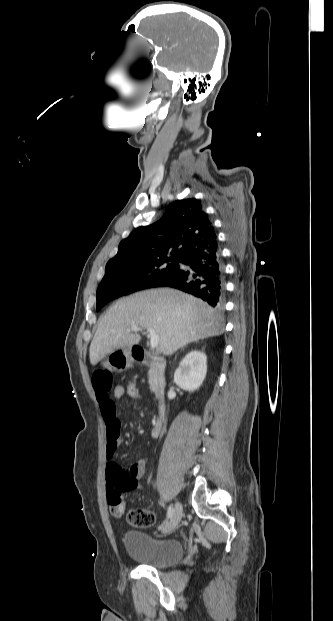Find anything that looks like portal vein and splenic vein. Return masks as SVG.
Masks as SVG:
<instances>
[{
    "mask_svg": "<svg viewBox=\"0 0 333 621\" xmlns=\"http://www.w3.org/2000/svg\"><path fill=\"white\" fill-rule=\"evenodd\" d=\"M139 330H142V328L137 327V326H133L130 328V331H133V332H137ZM146 330L150 336L151 347L156 348L158 346L160 336L155 332L153 328H146Z\"/></svg>",
    "mask_w": 333,
    "mask_h": 621,
    "instance_id": "obj_1",
    "label": "portal vein and splenic vein"
}]
</instances>
